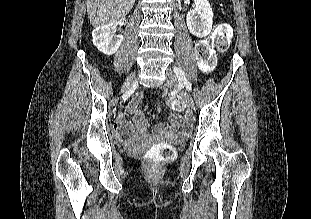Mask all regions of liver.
Segmentation results:
<instances>
[{"mask_svg": "<svg viewBox=\"0 0 311 219\" xmlns=\"http://www.w3.org/2000/svg\"><path fill=\"white\" fill-rule=\"evenodd\" d=\"M87 13L93 27H100L124 18L135 0H87Z\"/></svg>", "mask_w": 311, "mask_h": 219, "instance_id": "6515ba94", "label": "liver"}]
</instances>
